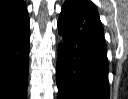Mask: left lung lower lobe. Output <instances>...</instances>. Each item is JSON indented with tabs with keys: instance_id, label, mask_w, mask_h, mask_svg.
<instances>
[{
	"instance_id": "1",
	"label": "left lung lower lobe",
	"mask_w": 128,
	"mask_h": 99,
	"mask_svg": "<svg viewBox=\"0 0 128 99\" xmlns=\"http://www.w3.org/2000/svg\"><path fill=\"white\" fill-rule=\"evenodd\" d=\"M58 28V99H109L108 59L99 14L89 0H66Z\"/></svg>"
}]
</instances>
